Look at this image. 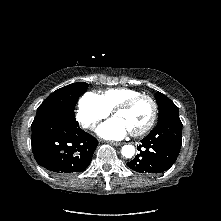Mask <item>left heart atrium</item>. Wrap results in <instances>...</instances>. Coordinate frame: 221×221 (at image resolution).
Wrapping results in <instances>:
<instances>
[{
	"mask_svg": "<svg viewBox=\"0 0 221 221\" xmlns=\"http://www.w3.org/2000/svg\"><path fill=\"white\" fill-rule=\"evenodd\" d=\"M97 133L110 140L122 139L129 133L127 126L118 118H112L99 126Z\"/></svg>",
	"mask_w": 221,
	"mask_h": 221,
	"instance_id": "left-heart-atrium-1",
	"label": "left heart atrium"
}]
</instances>
